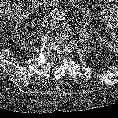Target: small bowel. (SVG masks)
<instances>
[{
	"label": "small bowel",
	"instance_id": "c3829d8e",
	"mask_svg": "<svg viewBox=\"0 0 118 118\" xmlns=\"http://www.w3.org/2000/svg\"><path fill=\"white\" fill-rule=\"evenodd\" d=\"M102 16L106 21V26L108 29H113L118 27V1L108 0L105 7L102 9Z\"/></svg>",
	"mask_w": 118,
	"mask_h": 118
}]
</instances>
